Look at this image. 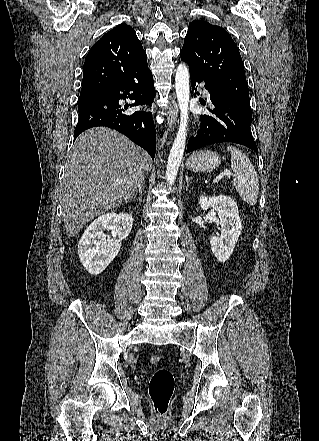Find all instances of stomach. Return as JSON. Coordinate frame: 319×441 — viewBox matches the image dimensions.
<instances>
[{"instance_id": "0dacf381", "label": "stomach", "mask_w": 319, "mask_h": 441, "mask_svg": "<svg viewBox=\"0 0 319 441\" xmlns=\"http://www.w3.org/2000/svg\"><path fill=\"white\" fill-rule=\"evenodd\" d=\"M220 164V157L214 151H199L193 153L187 160L188 169L200 172L216 169Z\"/></svg>"}]
</instances>
